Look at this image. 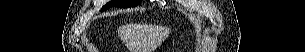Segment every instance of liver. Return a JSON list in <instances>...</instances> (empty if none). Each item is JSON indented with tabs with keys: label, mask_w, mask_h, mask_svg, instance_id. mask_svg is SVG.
Here are the masks:
<instances>
[{
	"label": "liver",
	"mask_w": 305,
	"mask_h": 52,
	"mask_svg": "<svg viewBox=\"0 0 305 52\" xmlns=\"http://www.w3.org/2000/svg\"><path fill=\"white\" fill-rule=\"evenodd\" d=\"M170 30L167 29V28H160L159 29V37L155 39V41L153 42V46L154 47H157L159 46L163 41L164 39H166L167 35L169 34Z\"/></svg>",
	"instance_id": "6515ba94"
}]
</instances>
